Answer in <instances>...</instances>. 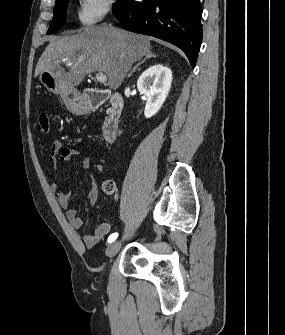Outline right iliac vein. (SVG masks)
Segmentation results:
<instances>
[{
  "label": "right iliac vein",
  "mask_w": 285,
  "mask_h": 335,
  "mask_svg": "<svg viewBox=\"0 0 285 335\" xmlns=\"http://www.w3.org/2000/svg\"><path fill=\"white\" fill-rule=\"evenodd\" d=\"M119 250H120V242L115 241L108 246L106 256L108 258H112L119 252Z\"/></svg>",
  "instance_id": "right-iliac-vein-1"
}]
</instances>
